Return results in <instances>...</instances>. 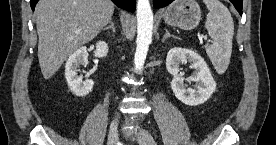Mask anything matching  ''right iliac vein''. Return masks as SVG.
<instances>
[{"instance_id":"63e3f726","label":"right iliac vein","mask_w":276,"mask_h":145,"mask_svg":"<svg viewBox=\"0 0 276 145\" xmlns=\"http://www.w3.org/2000/svg\"><path fill=\"white\" fill-rule=\"evenodd\" d=\"M118 122L119 119L115 118L110 125L107 144L108 145H116L118 142Z\"/></svg>"}]
</instances>
